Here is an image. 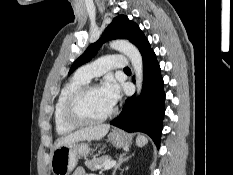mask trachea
I'll list each match as a JSON object with an SVG mask.
<instances>
[{
	"instance_id": "1",
	"label": "trachea",
	"mask_w": 233,
	"mask_h": 175,
	"mask_svg": "<svg viewBox=\"0 0 233 175\" xmlns=\"http://www.w3.org/2000/svg\"><path fill=\"white\" fill-rule=\"evenodd\" d=\"M124 70H125V71H129V70H130V68L126 67Z\"/></svg>"
}]
</instances>
